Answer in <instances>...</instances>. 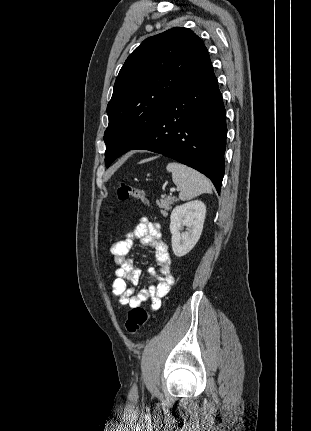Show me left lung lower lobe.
Wrapping results in <instances>:
<instances>
[{
  "label": "left lung lower lobe",
  "instance_id": "obj_1",
  "mask_svg": "<svg viewBox=\"0 0 311 431\" xmlns=\"http://www.w3.org/2000/svg\"><path fill=\"white\" fill-rule=\"evenodd\" d=\"M226 134V111L207 54L152 131L131 150L153 151L190 166L206 175L220 194Z\"/></svg>",
  "mask_w": 311,
  "mask_h": 431
}]
</instances>
